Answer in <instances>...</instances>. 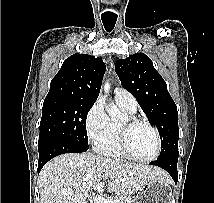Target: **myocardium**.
I'll use <instances>...</instances> for the list:
<instances>
[{
	"instance_id": "obj_1",
	"label": "myocardium",
	"mask_w": 214,
	"mask_h": 203,
	"mask_svg": "<svg viewBox=\"0 0 214 203\" xmlns=\"http://www.w3.org/2000/svg\"><path fill=\"white\" fill-rule=\"evenodd\" d=\"M145 125L149 127L156 138V151L155 153L148 158H139L136 157L130 150L129 144H128V135H129V130L135 126V125ZM119 145L122 153L129 159L136 161V162H141V163H148L154 161L161 153L162 149V142H161V136L159 131L155 126H153L149 121L138 118L135 116H128L125 120V122L120 123L119 125Z\"/></svg>"
}]
</instances>
